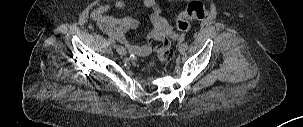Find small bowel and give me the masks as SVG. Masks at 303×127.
I'll return each instance as SVG.
<instances>
[{
    "mask_svg": "<svg viewBox=\"0 0 303 127\" xmlns=\"http://www.w3.org/2000/svg\"><path fill=\"white\" fill-rule=\"evenodd\" d=\"M143 4L149 10V18L152 25L148 39L157 35H172L173 27L163 17L162 10L158 6L156 0H143ZM124 7V2L116 0L111 4H104L96 8L92 12L91 18L99 29L109 37L124 44L132 54L141 56L146 55L150 51L149 46L135 44L128 36L132 30L140 26V22L132 17L115 18L108 14L111 10L121 11Z\"/></svg>",
    "mask_w": 303,
    "mask_h": 127,
    "instance_id": "1",
    "label": "small bowel"
}]
</instances>
